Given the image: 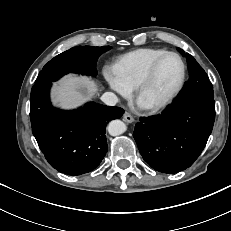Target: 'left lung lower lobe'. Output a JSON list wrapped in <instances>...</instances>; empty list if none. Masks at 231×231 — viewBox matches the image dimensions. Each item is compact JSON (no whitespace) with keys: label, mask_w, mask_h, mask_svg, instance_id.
<instances>
[{"label":"left lung lower lobe","mask_w":231,"mask_h":231,"mask_svg":"<svg viewBox=\"0 0 231 231\" xmlns=\"http://www.w3.org/2000/svg\"><path fill=\"white\" fill-rule=\"evenodd\" d=\"M215 119L213 98L175 99L161 114L141 117L134 139L143 159L162 173L190 167L203 151Z\"/></svg>","instance_id":"0a47b994"}]
</instances>
